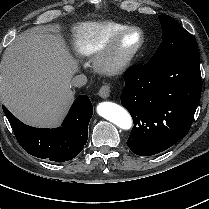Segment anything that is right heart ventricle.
Wrapping results in <instances>:
<instances>
[{
	"label": "right heart ventricle",
	"instance_id": "e07e8e85",
	"mask_svg": "<svg viewBox=\"0 0 209 209\" xmlns=\"http://www.w3.org/2000/svg\"><path fill=\"white\" fill-rule=\"evenodd\" d=\"M130 26L112 20L81 23L73 27L71 31L73 51L79 56H91L100 51L114 32Z\"/></svg>",
	"mask_w": 209,
	"mask_h": 209
}]
</instances>
